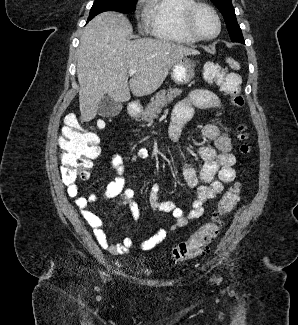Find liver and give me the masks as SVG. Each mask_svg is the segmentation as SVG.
<instances>
[{"instance_id": "liver-1", "label": "liver", "mask_w": 298, "mask_h": 325, "mask_svg": "<svg viewBox=\"0 0 298 325\" xmlns=\"http://www.w3.org/2000/svg\"><path fill=\"white\" fill-rule=\"evenodd\" d=\"M132 26L121 12H101L86 24L80 36L77 76L81 120L98 112V102L108 94L115 102L155 92L177 60L200 54L196 48L158 38L128 40ZM129 68H136L128 80Z\"/></svg>"}]
</instances>
